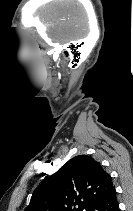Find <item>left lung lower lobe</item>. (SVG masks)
<instances>
[{
  "instance_id": "obj_1",
  "label": "left lung lower lobe",
  "mask_w": 133,
  "mask_h": 211,
  "mask_svg": "<svg viewBox=\"0 0 133 211\" xmlns=\"http://www.w3.org/2000/svg\"><path fill=\"white\" fill-rule=\"evenodd\" d=\"M117 193L113 187L106 196L101 199L92 209V211H119V205L117 201Z\"/></svg>"
}]
</instances>
